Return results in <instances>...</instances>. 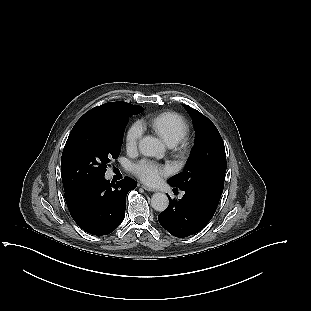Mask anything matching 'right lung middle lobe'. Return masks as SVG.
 Segmentation results:
<instances>
[{"mask_svg": "<svg viewBox=\"0 0 311 311\" xmlns=\"http://www.w3.org/2000/svg\"><path fill=\"white\" fill-rule=\"evenodd\" d=\"M138 113L106 106L88 111L77 121L62 154L65 192L104 177L107 164L119 156L129 116Z\"/></svg>", "mask_w": 311, "mask_h": 311, "instance_id": "1", "label": "right lung middle lobe"}]
</instances>
